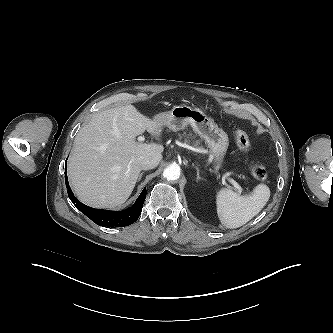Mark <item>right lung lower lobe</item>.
<instances>
[{
  "mask_svg": "<svg viewBox=\"0 0 333 333\" xmlns=\"http://www.w3.org/2000/svg\"><path fill=\"white\" fill-rule=\"evenodd\" d=\"M65 182L70 200L78 210L99 226L103 227H123L133 224L140 216L142 206L146 198V188L143 189L133 206L123 211H108L88 207L81 203L72 193L65 173Z\"/></svg>",
  "mask_w": 333,
  "mask_h": 333,
  "instance_id": "98d812e1",
  "label": "right lung lower lobe"
}]
</instances>
